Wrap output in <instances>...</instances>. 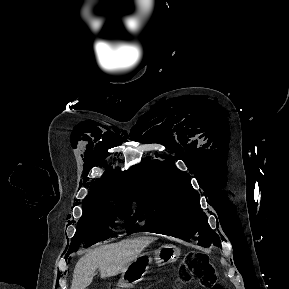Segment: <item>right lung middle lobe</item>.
<instances>
[{"label":"right lung middle lobe","mask_w":289,"mask_h":289,"mask_svg":"<svg viewBox=\"0 0 289 289\" xmlns=\"http://www.w3.org/2000/svg\"><path fill=\"white\" fill-rule=\"evenodd\" d=\"M131 207L132 202L83 203V214L78 221L66 258L70 252L77 251L79 246L89 247L114 236L111 229L115 227L116 218L125 221L127 232L141 231Z\"/></svg>","instance_id":"dd1d6c3e"}]
</instances>
